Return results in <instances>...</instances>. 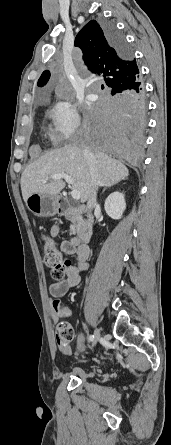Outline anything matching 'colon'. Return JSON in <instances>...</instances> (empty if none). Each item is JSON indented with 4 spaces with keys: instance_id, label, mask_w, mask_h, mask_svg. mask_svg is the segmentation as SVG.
Instances as JSON below:
<instances>
[{
    "instance_id": "colon-1",
    "label": "colon",
    "mask_w": 171,
    "mask_h": 445,
    "mask_svg": "<svg viewBox=\"0 0 171 445\" xmlns=\"http://www.w3.org/2000/svg\"><path fill=\"white\" fill-rule=\"evenodd\" d=\"M44 262L51 269L55 280H62L65 277V269L70 264L68 260L63 259L49 237L44 238ZM57 337L60 343L69 345L74 340V330L70 324L62 321L57 326Z\"/></svg>"
}]
</instances>
